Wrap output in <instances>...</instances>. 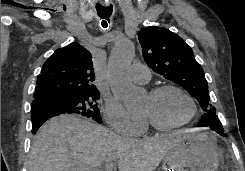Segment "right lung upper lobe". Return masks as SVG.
Returning <instances> with one entry per match:
<instances>
[{"label":"right lung upper lobe","instance_id":"cb5924a9","mask_svg":"<svg viewBox=\"0 0 245 171\" xmlns=\"http://www.w3.org/2000/svg\"><path fill=\"white\" fill-rule=\"evenodd\" d=\"M91 58V53L76 42L55 50L37 76L33 102L53 95L98 93L93 84L95 74Z\"/></svg>","mask_w":245,"mask_h":171}]
</instances>
